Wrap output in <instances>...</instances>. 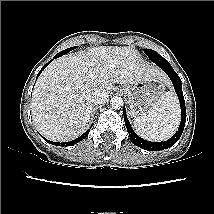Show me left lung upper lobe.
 <instances>
[{
    "mask_svg": "<svg viewBox=\"0 0 214 214\" xmlns=\"http://www.w3.org/2000/svg\"><path fill=\"white\" fill-rule=\"evenodd\" d=\"M144 52L149 57L151 61H153L156 65L165 66L170 65L169 62L163 58L161 55H159L156 51L150 50V49H144Z\"/></svg>",
    "mask_w": 214,
    "mask_h": 214,
    "instance_id": "left-lung-upper-lobe-1",
    "label": "left lung upper lobe"
}]
</instances>
